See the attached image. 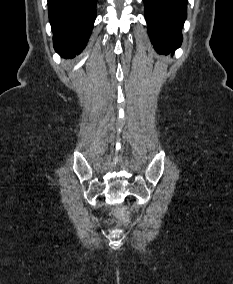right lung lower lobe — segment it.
I'll return each instance as SVG.
<instances>
[{"label":"right lung lower lobe","mask_w":233,"mask_h":284,"mask_svg":"<svg viewBox=\"0 0 233 284\" xmlns=\"http://www.w3.org/2000/svg\"><path fill=\"white\" fill-rule=\"evenodd\" d=\"M97 0H48L54 48L63 57L79 54L96 18Z\"/></svg>","instance_id":"98d812e1"}]
</instances>
